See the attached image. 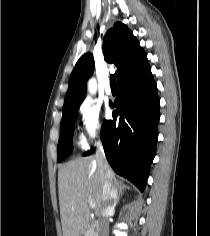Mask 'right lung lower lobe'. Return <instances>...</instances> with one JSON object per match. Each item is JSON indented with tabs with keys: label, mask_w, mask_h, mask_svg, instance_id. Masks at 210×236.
<instances>
[{
	"label": "right lung lower lobe",
	"mask_w": 210,
	"mask_h": 236,
	"mask_svg": "<svg viewBox=\"0 0 210 236\" xmlns=\"http://www.w3.org/2000/svg\"><path fill=\"white\" fill-rule=\"evenodd\" d=\"M113 120L104 121L101 140L113 170L143 190L155 156L159 98L149 63L117 82ZM94 148L84 155H90Z\"/></svg>",
	"instance_id": "obj_1"
}]
</instances>
